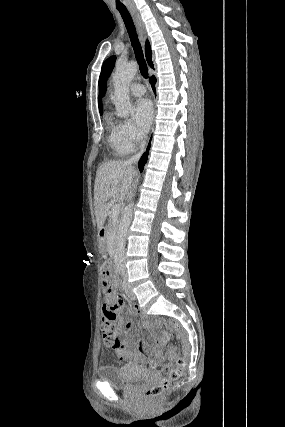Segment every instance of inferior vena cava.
I'll list each match as a JSON object with an SVG mask.
<instances>
[{
	"label": "inferior vena cava",
	"instance_id": "inferior-vena-cava-1",
	"mask_svg": "<svg viewBox=\"0 0 285 427\" xmlns=\"http://www.w3.org/2000/svg\"><path fill=\"white\" fill-rule=\"evenodd\" d=\"M146 145V141H145V137H141V144H140V152L136 155H134L133 157H131L127 163L128 164H135L139 161L140 157L142 156L143 152H144V148Z\"/></svg>",
	"mask_w": 285,
	"mask_h": 427
}]
</instances>
